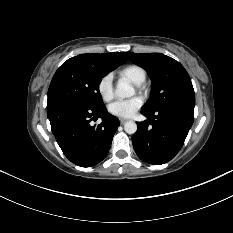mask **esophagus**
Returning <instances> with one entry per match:
<instances>
[{
	"instance_id": "1",
	"label": "esophagus",
	"mask_w": 233,
	"mask_h": 233,
	"mask_svg": "<svg viewBox=\"0 0 233 233\" xmlns=\"http://www.w3.org/2000/svg\"><path fill=\"white\" fill-rule=\"evenodd\" d=\"M119 121H120V124H124L127 121V119L120 118Z\"/></svg>"
}]
</instances>
